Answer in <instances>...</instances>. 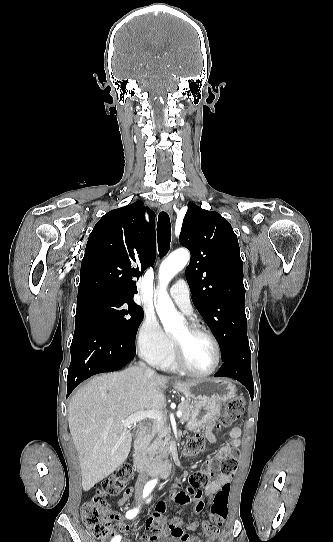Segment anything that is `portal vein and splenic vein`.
I'll return each instance as SVG.
<instances>
[{
	"label": "portal vein and splenic vein",
	"instance_id": "portal-vein-and-splenic-vein-1",
	"mask_svg": "<svg viewBox=\"0 0 333 542\" xmlns=\"http://www.w3.org/2000/svg\"><path fill=\"white\" fill-rule=\"evenodd\" d=\"M177 418H181L183 416V412H176ZM145 418H152V420H161L162 418V412H159V410H149V412H144V410H139V412H135V414H132V416H129V418H126V420H122L123 426H132V424H136V422H141V420H145Z\"/></svg>",
	"mask_w": 333,
	"mask_h": 542
}]
</instances>
